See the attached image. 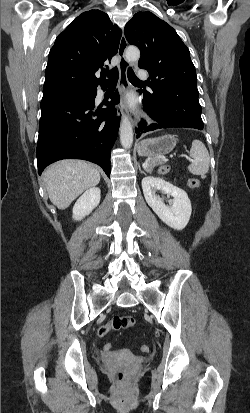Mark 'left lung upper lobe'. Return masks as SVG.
I'll return each instance as SVG.
<instances>
[{
    "mask_svg": "<svg viewBox=\"0 0 250 413\" xmlns=\"http://www.w3.org/2000/svg\"><path fill=\"white\" fill-rule=\"evenodd\" d=\"M127 41L141 51L140 68L149 72V86L162 91L169 85L197 83L187 46L176 31L151 12H138L126 24Z\"/></svg>",
    "mask_w": 250,
    "mask_h": 413,
    "instance_id": "left-lung-upper-lobe-1",
    "label": "left lung upper lobe"
}]
</instances>
